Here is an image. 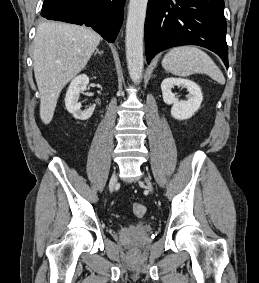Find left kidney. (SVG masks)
<instances>
[{
  "label": "left kidney",
  "instance_id": "1",
  "mask_svg": "<svg viewBox=\"0 0 259 283\" xmlns=\"http://www.w3.org/2000/svg\"><path fill=\"white\" fill-rule=\"evenodd\" d=\"M174 86L185 87L189 92L187 100H179L172 92ZM163 100L172 105L171 115L177 120L191 118L198 111L203 100L200 87L193 81L180 78H166L161 83Z\"/></svg>",
  "mask_w": 259,
  "mask_h": 283
}]
</instances>
